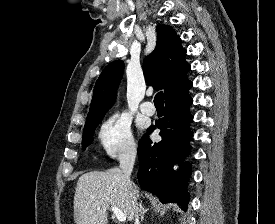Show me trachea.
Returning a JSON list of instances; mask_svg holds the SVG:
<instances>
[{
  "mask_svg": "<svg viewBox=\"0 0 275 224\" xmlns=\"http://www.w3.org/2000/svg\"><path fill=\"white\" fill-rule=\"evenodd\" d=\"M154 103L156 106H164V96L163 92H158L154 97Z\"/></svg>",
  "mask_w": 275,
  "mask_h": 224,
  "instance_id": "obj_1",
  "label": "trachea"
}]
</instances>
